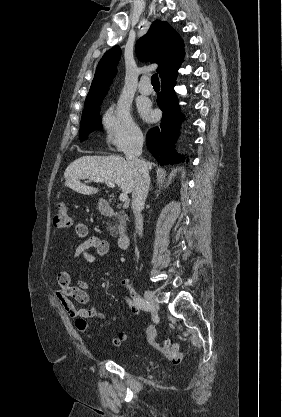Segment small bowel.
Returning a JSON list of instances; mask_svg holds the SVG:
<instances>
[{
	"label": "small bowel",
	"instance_id": "small-bowel-1",
	"mask_svg": "<svg viewBox=\"0 0 282 417\" xmlns=\"http://www.w3.org/2000/svg\"><path fill=\"white\" fill-rule=\"evenodd\" d=\"M75 234L82 238L83 241L76 247L74 258H83L88 262H95L106 256L110 251V245L107 240L90 236L88 226L85 223L78 222L74 226ZM91 250L94 252L92 253ZM55 297L60 302L66 313L75 319V327L81 333L88 331L87 319H96L99 321H115L116 317L111 314H105L97 310L95 307H79L88 303L87 282L79 280L75 286L71 285V278L67 271H61L56 278ZM121 286L128 294V303L132 314L135 318L139 315V308L134 303L136 292L132 286L130 279L124 278ZM129 337L126 330L119 331L115 337L108 339L113 347H119Z\"/></svg>",
	"mask_w": 282,
	"mask_h": 417
}]
</instances>
